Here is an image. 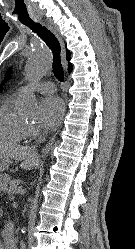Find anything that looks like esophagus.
I'll list each match as a JSON object with an SVG mask.
<instances>
[{
    "label": "esophagus",
    "mask_w": 135,
    "mask_h": 249,
    "mask_svg": "<svg viewBox=\"0 0 135 249\" xmlns=\"http://www.w3.org/2000/svg\"><path fill=\"white\" fill-rule=\"evenodd\" d=\"M48 28L56 35V37L58 38V40L60 41L61 43V59H62V62L65 61V50H64V44H63V40L60 36V34L58 33L57 29H55L52 25H47ZM55 138H56V135H54L51 140L46 144V146L42 149V154H47L53 147L54 145V142H55Z\"/></svg>",
    "instance_id": "obj_1"
}]
</instances>
